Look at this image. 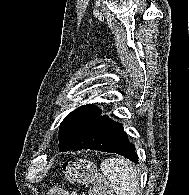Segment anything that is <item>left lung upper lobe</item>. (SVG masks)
<instances>
[{"label":"left lung upper lobe","mask_w":189,"mask_h":195,"mask_svg":"<svg viewBox=\"0 0 189 195\" xmlns=\"http://www.w3.org/2000/svg\"><path fill=\"white\" fill-rule=\"evenodd\" d=\"M99 109L94 105H83L68 114L60 124L59 146L67 142L73 134L89 119H91Z\"/></svg>","instance_id":"obj_1"}]
</instances>
